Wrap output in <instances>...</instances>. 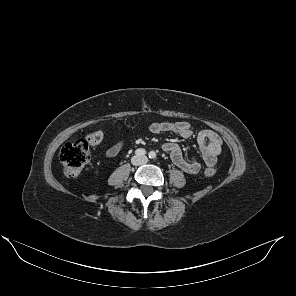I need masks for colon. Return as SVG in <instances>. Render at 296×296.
I'll list each match as a JSON object with an SVG mask.
<instances>
[{"mask_svg":"<svg viewBox=\"0 0 296 296\" xmlns=\"http://www.w3.org/2000/svg\"><path fill=\"white\" fill-rule=\"evenodd\" d=\"M103 138L104 132L97 131L89 134L85 139L64 145L59 155L64 173L69 177L78 176L89 161V145L98 144ZM216 172L217 170L214 166H208L204 170V174L208 177L214 176Z\"/></svg>","mask_w":296,"mask_h":296,"instance_id":"5ec220e1","label":"colon"}]
</instances>
